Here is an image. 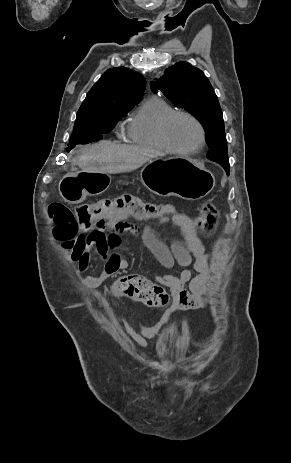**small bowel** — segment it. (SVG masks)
<instances>
[{"mask_svg":"<svg viewBox=\"0 0 291 463\" xmlns=\"http://www.w3.org/2000/svg\"><path fill=\"white\" fill-rule=\"evenodd\" d=\"M128 218L131 217H109L104 228L85 232L75 240L70 259L76 262L77 273L87 270L92 250L104 260V269L100 276L83 278V285L98 286L129 268V262L118 252L121 235L138 232L135 225L126 221ZM180 231L183 243L173 242L170 247L148 227L141 232V238L166 271L156 275L155 280L169 288L182 307L203 309L208 304L206 297L212 285L213 268L210 256L205 252L197 232L187 229ZM175 262L184 267L178 275L170 273Z\"/></svg>","mask_w":291,"mask_h":463,"instance_id":"c3829d8e","label":"small bowel"}]
</instances>
